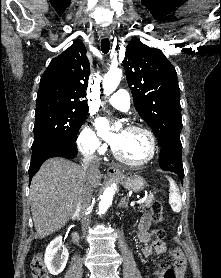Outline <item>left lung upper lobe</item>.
<instances>
[{
  "instance_id": "5c2ea615",
  "label": "left lung upper lobe",
  "mask_w": 221,
  "mask_h": 278,
  "mask_svg": "<svg viewBox=\"0 0 221 278\" xmlns=\"http://www.w3.org/2000/svg\"><path fill=\"white\" fill-rule=\"evenodd\" d=\"M134 106L160 145L180 141L182 129L177 73L161 50L132 38L123 60Z\"/></svg>"
}]
</instances>
